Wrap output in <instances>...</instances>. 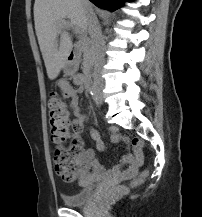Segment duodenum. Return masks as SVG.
<instances>
[{
    "mask_svg": "<svg viewBox=\"0 0 202 217\" xmlns=\"http://www.w3.org/2000/svg\"><path fill=\"white\" fill-rule=\"evenodd\" d=\"M80 54L75 45H73L67 54L68 59V65H67V71L69 73H73L74 70L78 66V60H79ZM83 85L88 89L90 86V78L83 77Z\"/></svg>",
    "mask_w": 202,
    "mask_h": 217,
    "instance_id": "410a0bca",
    "label": "duodenum"
}]
</instances>
